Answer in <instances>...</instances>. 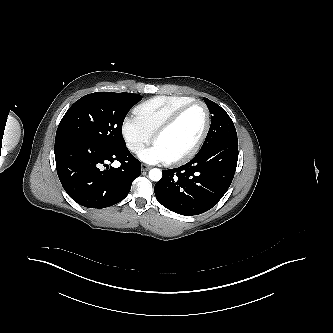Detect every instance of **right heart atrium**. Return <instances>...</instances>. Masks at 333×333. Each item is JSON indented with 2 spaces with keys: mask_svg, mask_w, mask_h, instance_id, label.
Returning <instances> with one entry per match:
<instances>
[{
  "mask_svg": "<svg viewBox=\"0 0 333 333\" xmlns=\"http://www.w3.org/2000/svg\"><path fill=\"white\" fill-rule=\"evenodd\" d=\"M121 132L127 148L135 154L139 153L151 141L153 135L136 116L124 118Z\"/></svg>",
  "mask_w": 333,
  "mask_h": 333,
  "instance_id": "1",
  "label": "right heart atrium"
}]
</instances>
